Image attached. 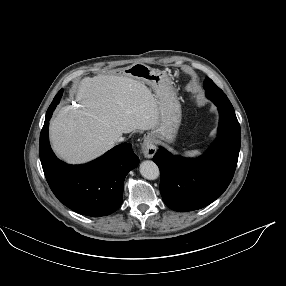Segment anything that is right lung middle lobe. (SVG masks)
<instances>
[{
	"label": "right lung middle lobe",
	"mask_w": 286,
	"mask_h": 286,
	"mask_svg": "<svg viewBox=\"0 0 286 286\" xmlns=\"http://www.w3.org/2000/svg\"><path fill=\"white\" fill-rule=\"evenodd\" d=\"M62 93H63V90H60L59 92H58V94L55 96V98L53 99V101L54 100H59L60 98H61V96H62ZM58 103H59V101H58ZM57 103V104H58Z\"/></svg>",
	"instance_id": "right-lung-middle-lobe-1"
}]
</instances>
